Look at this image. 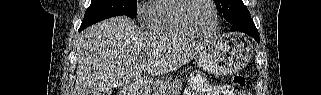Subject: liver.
<instances>
[{
  "label": "liver",
  "instance_id": "liver-1",
  "mask_svg": "<svg viewBox=\"0 0 321 95\" xmlns=\"http://www.w3.org/2000/svg\"><path fill=\"white\" fill-rule=\"evenodd\" d=\"M205 44L141 32L125 16L104 20L77 38L73 95H111L115 85L139 81L142 72L158 76L175 71L193 59Z\"/></svg>",
  "mask_w": 321,
  "mask_h": 95
}]
</instances>
